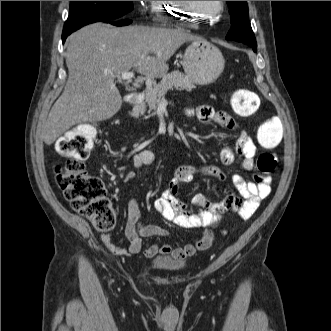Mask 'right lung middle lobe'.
<instances>
[{
  "instance_id": "obj_1",
  "label": "right lung middle lobe",
  "mask_w": 331,
  "mask_h": 331,
  "mask_svg": "<svg viewBox=\"0 0 331 331\" xmlns=\"http://www.w3.org/2000/svg\"><path fill=\"white\" fill-rule=\"evenodd\" d=\"M132 10V1H71L63 34H71L90 23L122 19Z\"/></svg>"
}]
</instances>
